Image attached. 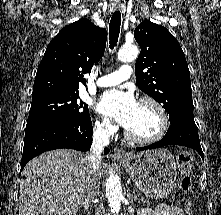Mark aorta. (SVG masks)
<instances>
[{"label": "aorta", "instance_id": "obj_1", "mask_svg": "<svg viewBox=\"0 0 221 215\" xmlns=\"http://www.w3.org/2000/svg\"><path fill=\"white\" fill-rule=\"evenodd\" d=\"M138 55L139 49L137 46L125 45L121 47L117 57L118 60L122 62H132L137 59ZM105 188L111 212L118 214L121 207V200L123 198L122 187L119 178L115 175H110L106 179Z\"/></svg>", "mask_w": 221, "mask_h": 215}]
</instances>
